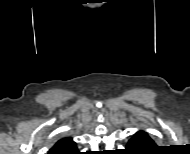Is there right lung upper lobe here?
Instances as JSON below:
<instances>
[{"label": "right lung upper lobe", "mask_w": 190, "mask_h": 154, "mask_svg": "<svg viewBox=\"0 0 190 154\" xmlns=\"http://www.w3.org/2000/svg\"><path fill=\"white\" fill-rule=\"evenodd\" d=\"M76 149V144L73 142L72 138H62L55 143L48 154H63V152Z\"/></svg>", "instance_id": "1"}]
</instances>
